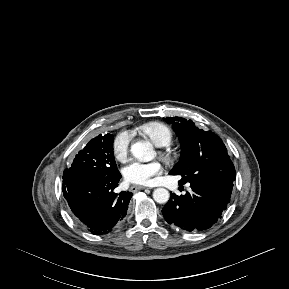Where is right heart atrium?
<instances>
[{
  "label": "right heart atrium",
  "mask_w": 289,
  "mask_h": 289,
  "mask_svg": "<svg viewBox=\"0 0 289 289\" xmlns=\"http://www.w3.org/2000/svg\"><path fill=\"white\" fill-rule=\"evenodd\" d=\"M130 144H131L130 133L126 130L120 131L115 136L112 143V150L114 156L118 160L123 161L128 155Z\"/></svg>",
  "instance_id": "1"
}]
</instances>
